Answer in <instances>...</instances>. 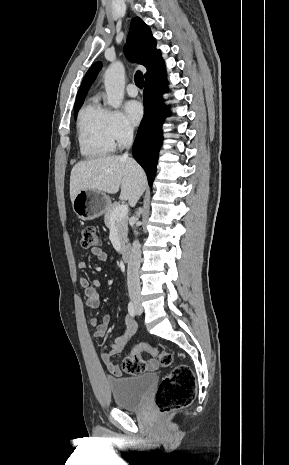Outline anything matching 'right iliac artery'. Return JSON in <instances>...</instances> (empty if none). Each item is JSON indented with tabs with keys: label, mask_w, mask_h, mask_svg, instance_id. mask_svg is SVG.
<instances>
[{
	"label": "right iliac artery",
	"mask_w": 289,
	"mask_h": 465,
	"mask_svg": "<svg viewBox=\"0 0 289 465\" xmlns=\"http://www.w3.org/2000/svg\"><path fill=\"white\" fill-rule=\"evenodd\" d=\"M128 312L131 317L135 316V308L132 302H129L128 304Z\"/></svg>",
	"instance_id": "right-iliac-artery-1"
}]
</instances>
